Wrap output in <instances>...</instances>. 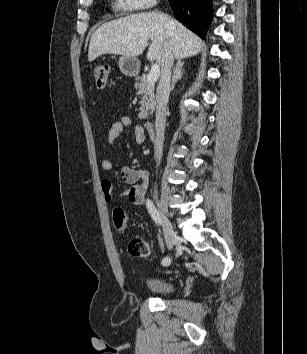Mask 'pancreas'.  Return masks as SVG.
<instances>
[{
  "label": "pancreas",
  "mask_w": 307,
  "mask_h": 354,
  "mask_svg": "<svg viewBox=\"0 0 307 354\" xmlns=\"http://www.w3.org/2000/svg\"><path fill=\"white\" fill-rule=\"evenodd\" d=\"M148 75L136 77L135 89L137 94L141 97L139 108V119H146L151 115L155 108V85L147 80Z\"/></svg>",
  "instance_id": "pancreas-1"
}]
</instances>
